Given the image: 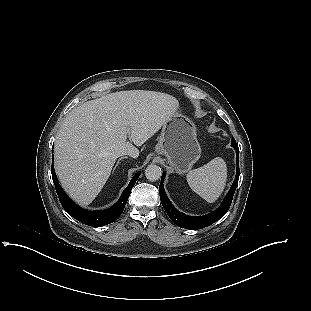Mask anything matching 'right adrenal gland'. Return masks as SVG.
I'll list each match as a JSON object with an SVG mask.
<instances>
[{
	"mask_svg": "<svg viewBox=\"0 0 311 311\" xmlns=\"http://www.w3.org/2000/svg\"><path fill=\"white\" fill-rule=\"evenodd\" d=\"M124 158H126V157H121V158L117 161V163H116V165H115L113 171H114V170L116 169V167L119 165L120 161H121L122 159H124Z\"/></svg>",
	"mask_w": 311,
	"mask_h": 311,
	"instance_id": "obj_1",
	"label": "right adrenal gland"
}]
</instances>
